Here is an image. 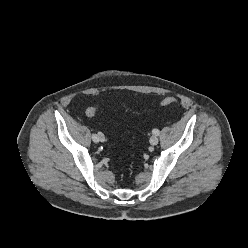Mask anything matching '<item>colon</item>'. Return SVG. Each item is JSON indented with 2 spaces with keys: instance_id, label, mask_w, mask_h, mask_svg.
<instances>
[{
  "instance_id": "obj_1",
  "label": "colon",
  "mask_w": 248,
  "mask_h": 248,
  "mask_svg": "<svg viewBox=\"0 0 248 248\" xmlns=\"http://www.w3.org/2000/svg\"><path fill=\"white\" fill-rule=\"evenodd\" d=\"M175 103H176V99L174 97L168 96V97H165L164 99H162L160 104H161V106L166 107V106L173 105ZM96 109H97V106L89 107L87 109L88 116H90V117L95 116Z\"/></svg>"
}]
</instances>
